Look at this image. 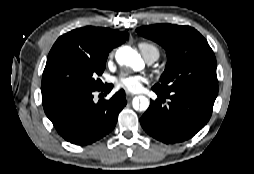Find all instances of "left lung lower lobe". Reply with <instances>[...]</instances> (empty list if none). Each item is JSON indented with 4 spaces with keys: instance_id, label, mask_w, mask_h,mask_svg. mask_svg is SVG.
<instances>
[{
    "instance_id": "left-lung-lower-lobe-1",
    "label": "left lung lower lobe",
    "mask_w": 254,
    "mask_h": 174,
    "mask_svg": "<svg viewBox=\"0 0 254 174\" xmlns=\"http://www.w3.org/2000/svg\"><path fill=\"white\" fill-rule=\"evenodd\" d=\"M160 97L140 118L142 128L163 143H178L192 138L211 117L217 93L184 88L163 93L153 88ZM170 101L162 105L165 99Z\"/></svg>"
}]
</instances>
